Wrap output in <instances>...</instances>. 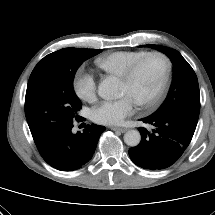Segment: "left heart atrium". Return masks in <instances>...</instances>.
<instances>
[{
    "instance_id": "obj_1",
    "label": "left heart atrium",
    "mask_w": 215,
    "mask_h": 215,
    "mask_svg": "<svg viewBox=\"0 0 215 215\" xmlns=\"http://www.w3.org/2000/svg\"><path fill=\"white\" fill-rule=\"evenodd\" d=\"M136 102L129 95L104 101L92 111V119L102 125H119L135 110Z\"/></svg>"
}]
</instances>
